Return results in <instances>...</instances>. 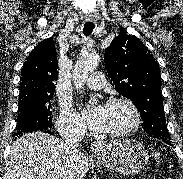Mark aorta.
<instances>
[{
  "instance_id": "aorta-1",
  "label": "aorta",
  "mask_w": 183,
  "mask_h": 179,
  "mask_svg": "<svg viewBox=\"0 0 183 179\" xmlns=\"http://www.w3.org/2000/svg\"><path fill=\"white\" fill-rule=\"evenodd\" d=\"M99 62L100 57L97 54L79 57L73 70V83L77 90L82 92L86 79L97 68Z\"/></svg>"
}]
</instances>
